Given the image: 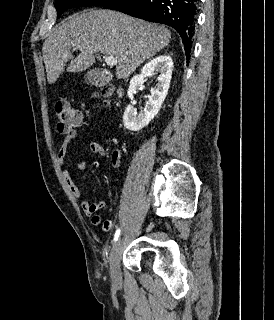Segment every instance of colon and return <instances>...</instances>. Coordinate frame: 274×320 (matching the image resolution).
Instances as JSON below:
<instances>
[{
  "label": "colon",
  "mask_w": 274,
  "mask_h": 320,
  "mask_svg": "<svg viewBox=\"0 0 274 320\" xmlns=\"http://www.w3.org/2000/svg\"><path fill=\"white\" fill-rule=\"evenodd\" d=\"M54 111L57 129L60 133H73L76 130L74 120H83L82 113L64 99H59L55 102Z\"/></svg>",
  "instance_id": "1"
}]
</instances>
